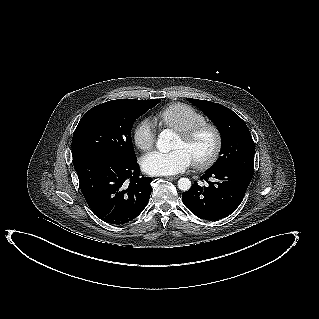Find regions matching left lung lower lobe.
Segmentation results:
<instances>
[{"label":"left lung lower lobe","mask_w":319,"mask_h":319,"mask_svg":"<svg viewBox=\"0 0 319 319\" xmlns=\"http://www.w3.org/2000/svg\"><path fill=\"white\" fill-rule=\"evenodd\" d=\"M252 177L253 173L238 167L208 169L201 177L205 185L195 181L191 189L182 194L183 203L201 219H222L241 204Z\"/></svg>","instance_id":"1"}]
</instances>
